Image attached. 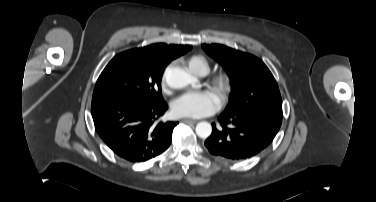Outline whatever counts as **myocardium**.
I'll list each match as a JSON object with an SVG mask.
<instances>
[{"mask_svg": "<svg viewBox=\"0 0 376 202\" xmlns=\"http://www.w3.org/2000/svg\"><path fill=\"white\" fill-rule=\"evenodd\" d=\"M212 89L217 93L222 103H225L232 90V78L227 72L214 75L209 81Z\"/></svg>", "mask_w": 376, "mask_h": 202, "instance_id": "obj_1", "label": "myocardium"}]
</instances>
